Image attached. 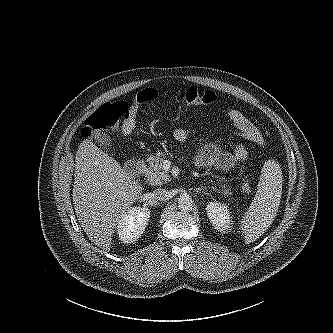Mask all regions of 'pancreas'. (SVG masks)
<instances>
[{
    "label": "pancreas",
    "instance_id": "pancreas-1",
    "mask_svg": "<svg viewBox=\"0 0 333 333\" xmlns=\"http://www.w3.org/2000/svg\"><path fill=\"white\" fill-rule=\"evenodd\" d=\"M164 154L160 151L152 155L148 159L149 167L146 170V175L149 182L152 185H162L163 183L170 181V176L163 169ZM225 196L231 195V191L228 188L223 189L222 192Z\"/></svg>",
    "mask_w": 333,
    "mask_h": 333
}]
</instances>
